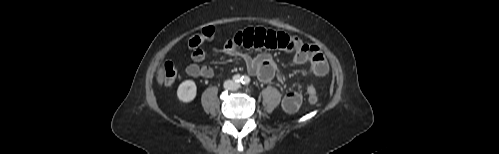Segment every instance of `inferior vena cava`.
<instances>
[{
  "mask_svg": "<svg viewBox=\"0 0 499 154\" xmlns=\"http://www.w3.org/2000/svg\"><path fill=\"white\" fill-rule=\"evenodd\" d=\"M238 85L233 82L232 80H227L224 82V88L228 90H235L237 89Z\"/></svg>",
  "mask_w": 499,
  "mask_h": 154,
  "instance_id": "1",
  "label": "inferior vena cava"
}]
</instances>
